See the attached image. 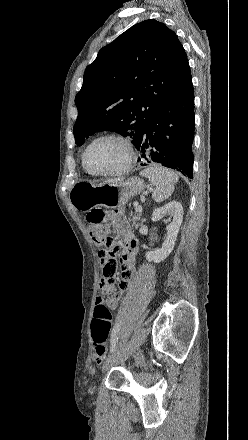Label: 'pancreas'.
Returning a JSON list of instances; mask_svg holds the SVG:
<instances>
[{
  "label": "pancreas",
  "instance_id": "1",
  "mask_svg": "<svg viewBox=\"0 0 248 440\" xmlns=\"http://www.w3.org/2000/svg\"><path fill=\"white\" fill-rule=\"evenodd\" d=\"M140 216H141L140 212H137V211L134 215H132V214L130 215L129 221L132 223V227H134V228L139 227L138 221L140 220Z\"/></svg>",
  "mask_w": 248,
  "mask_h": 440
}]
</instances>
